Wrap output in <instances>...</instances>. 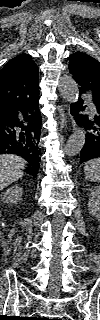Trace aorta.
<instances>
[{"instance_id": "aorta-1", "label": "aorta", "mask_w": 100, "mask_h": 320, "mask_svg": "<svg viewBox=\"0 0 100 320\" xmlns=\"http://www.w3.org/2000/svg\"><path fill=\"white\" fill-rule=\"evenodd\" d=\"M58 89L63 99L69 103L78 100V85L70 75H63L59 79ZM86 136L83 128H77L69 137L64 147L67 156L78 154L85 144Z\"/></svg>"}]
</instances>
